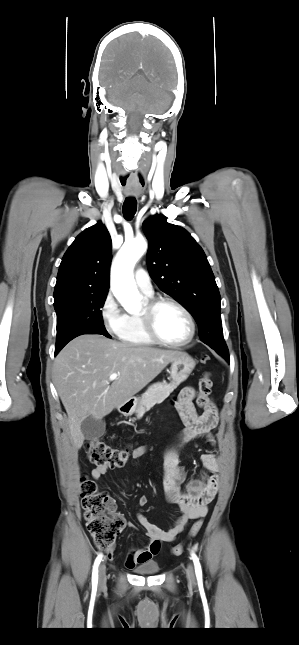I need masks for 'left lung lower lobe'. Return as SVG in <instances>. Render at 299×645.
I'll return each mask as SVG.
<instances>
[{"label":"left lung lower lobe","instance_id":"0a47b994","mask_svg":"<svg viewBox=\"0 0 299 645\" xmlns=\"http://www.w3.org/2000/svg\"><path fill=\"white\" fill-rule=\"evenodd\" d=\"M227 360H229V356L225 357Z\"/></svg>","mask_w":299,"mask_h":645}]
</instances>
